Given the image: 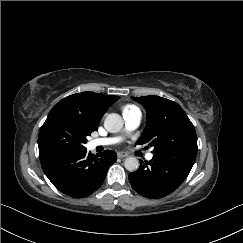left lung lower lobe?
Returning <instances> with one entry per match:
<instances>
[{"instance_id":"1","label":"left lung lower lobe","mask_w":243,"mask_h":243,"mask_svg":"<svg viewBox=\"0 0 243 243\" xmlns=\"http://www.w3.org/2000/svg\"><path fill=\"white\" fill-rule=\"evenodd\" d=\"M197 154V144H183L154 153L150 162L129 174L133 189L148 198L164 197L188 176Z\"/></svg>"}]
</instances>
